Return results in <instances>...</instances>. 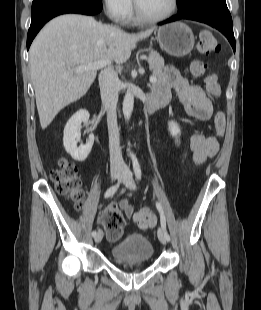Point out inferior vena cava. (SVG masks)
Wrapping results in <instances>:
<instances>
[{"mask_svg":"<svg viewBox=\"0 0 261 310\" xmlns=\"http://www.w3.org/2000/svg\"><path fill=\"white\" fill-rule=\"evenodd\" d=\"M99 85L102 103L107 111L110 163L112 167H121L123 165V159L116 114L120 81L116 71L112 67H107L100 72Z\"/></svg>","mask_w":261,"mask_h":310,"instance_id":"inferior-vena-cava-1","label":"inferior vena cava"}]
</instances>
